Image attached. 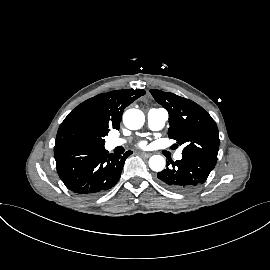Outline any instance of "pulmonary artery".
<instances>
[{
	"label": "pulmonary artery",
	"mask_w": 270,
	"mask_h": 270,
	"mask_svg": "<svg viewBox=\"0 0 270 270\" xmlns=\"http://www.w3.org/2000/svg\"><path fill=\"white\" fill-rule=\"evenodd\" d=\"M167 120H168V113L165 109L152 108L147 113V123L151 130L157 131L162 129ZM125 143L126 140L119 138L110 139L108 142L110 148L122 146ZM174 157L176 160H180L182 158V152L178 151Z\"/></svg>",
	"instance_id": "obj_1"
}]
</instances>
